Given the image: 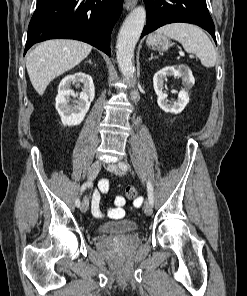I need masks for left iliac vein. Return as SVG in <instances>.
<instances>
[{"label": "left iliac vein", "mask_w": 247, "mask_h": 296, "mask_svg": "<svg viewBox=\"0 0 247 296\" xmlns=\"http://www.w3.org/2000/svg\"><path fill=\"white\" fill-rule=\"evenodd\" d=\"M108 170L110 172H113L114 174L120 175V176L125 174V172L117 164H110L108 166ZM143 210L146 215H148V216L152 215L153 208H152V205L150 204V202L146 201L144 203Z\"/></svg>", "instance_id": "4c4485c4"}]
</instances>
